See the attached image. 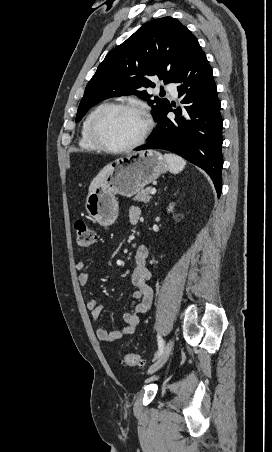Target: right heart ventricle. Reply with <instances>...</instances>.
<instances>
[{"mask_svg":"<svg viewBox=\"0 0 272 452\" xmlns=\"http://www.w3.org/2000/svg\"><path fill=\"white\" fill-rule=\"evenodd\" d=\"M96 110V109H95ZM91 111L86 118L84 119L82 126H81V132H80V138H79V146L87 151H97L99 148L92 142V140L89 137L88 133V123L89 119L94 113V111Z\"/></svg>","mask_w":272,"mask_h":452,"instance_id":"right-heart-ventricle-1","label":"right heart ventricle"}]
</instances>
